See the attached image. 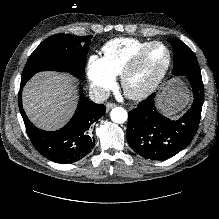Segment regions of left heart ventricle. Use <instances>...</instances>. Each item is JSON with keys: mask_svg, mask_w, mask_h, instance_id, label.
I'll return each instance as SVG.
<instances>
[{"mask_svg": "<svg viewBox=\"0 0 219 219\" xmlns=\"http://www.w3.org/2000/svg\"><path fill=\"white\" fill-rule=\"evenodd\" d=\"M166 62V53L162 47H154L144 58L130 79L133 88H139L161 69Z\"/></svg>", "mask_w": 219, "mask_h": 219, "instance_id": "obj_1", "label": "left heart ventricle"}]
</instances>
